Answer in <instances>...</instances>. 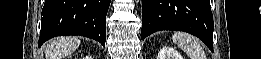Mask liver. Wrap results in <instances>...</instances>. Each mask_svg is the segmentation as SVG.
Listing matches in <instances>:
<instances>
[{
    "label": "liver",
    "mask_w": 261,
    "mask_h": 59,
    "mask_svg": "<svg viewBox=\"0 0 261 59\" xmlns=\"http://www.w3.org/2000/svg\"><path fill=\"white\" fill-rule=\"evenodd\" d=\"M80 45L77 37H59L50 40L46 44V59H62L74 52Z\"/></svg>",
    "instance_id": "liver-1"
}]
</instances>
